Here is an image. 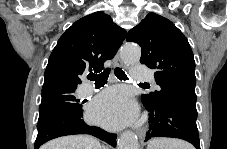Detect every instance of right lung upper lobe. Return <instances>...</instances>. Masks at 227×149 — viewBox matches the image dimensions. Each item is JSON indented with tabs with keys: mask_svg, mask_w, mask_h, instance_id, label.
Masks as SVG:
<instances>
[{
	"mask_svg": "<svg viewBox=\"0 0 227 149\" xmlns=\"http://www.w3.org/2000/svg\"><path fill=\"white\" fill-rule=\"evenodd\" d=\"M126 31L102 11L76 21L59 38L44 74L43 88L55 84L76 85L89 70L100 72L125 39Z\"/></svg>",
	"mask_w": 227,
	"mask_h": 149,
	"instance_id": "right-lung-upper-lobe-1",
	"label": "right lung upper lobe"
}]
</instances>
